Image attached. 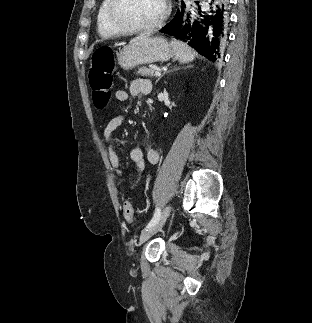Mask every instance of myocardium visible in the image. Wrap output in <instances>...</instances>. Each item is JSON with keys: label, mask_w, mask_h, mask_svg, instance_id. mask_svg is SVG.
Masks as SVG:
<instances>
[{"label": "myocardium", "mask_w": 312, "mask_h": 323, "mask_svg": "<svg viewBox=\"0 0 312 323\" xmlns=\"http://www.w3.org/2000/svg\"><path fill=\"white\" fill-rule=\"evenodd\" d=\"M108 8L105 12L109 21H113L115 31H150V27L163 25L164 21H168L172 12L171 0H161V12L156 20H123L119 18L118 11L120 3L118 0H106Z\"/></svg>", "instance_id": "myocardium-1"}]
</instances>
